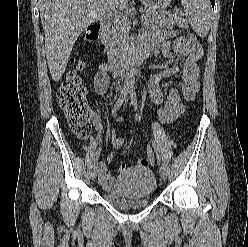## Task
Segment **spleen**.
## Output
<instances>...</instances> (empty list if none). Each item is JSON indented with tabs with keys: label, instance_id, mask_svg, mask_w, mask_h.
<instances>
[{
	"label": "spleen",
	"instance_id": "obj_1",
	"mask_svg": "<svg viewBox=\"0 0 248 247\" xmlns=\"http://www.w3.org/2000/svg\"><path fill=\"white\" fill-rule=\"evenodd\" d=\"M184 15L193 30L200 37H206L212 18L209 0H181Z\"/></svg>",
	"mask_w": 248,
	"mask_h": 247
}]
</instances>
